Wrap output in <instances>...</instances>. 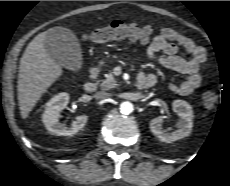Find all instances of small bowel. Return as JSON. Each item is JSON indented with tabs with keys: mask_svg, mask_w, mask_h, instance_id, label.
<instances>
[{
	"mask_svg": "<svg viewBox=\"0 0 230 186\" xmlns=\"http://www.w3.org/2000/svg\"><path fill=\"white\" fill-rule=\"evenodd\" d=\"M180 48H183L190 56L189 59L178 55ZM148 54L157 59L165 68L171 69L187 78L181 83H172L170 89L180 95H190L202 82V69L207 60L204 48L195 44L188 36L177 29L164 27L154 37L147 48ZM150 79L152 85L156 82V76L140 72L139 79Z\"/></svg>",
	"mask_w": 230,
	"mask_h": 186,
	"instance_id": "small-bowel-1",
	"label": "small bowel"
}]
</instances>
